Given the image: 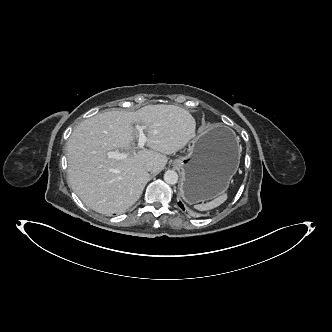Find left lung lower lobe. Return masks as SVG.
Instances as JSON below:
<instances>
[{"label":"left lung lower lobe","mask_w":332,"mask_h":332,"mask_svg":"<svg viewBox=\"0 0 332 332\" xmlns=\"http://www.w3.org/2000/svg\"><path fill=\"white\" fill-rule=\"evenodd\" d=\"M178 205L184 210L183 204L181 202H179Z\"/></svg>","instance_id":"1"}]
</instances>
